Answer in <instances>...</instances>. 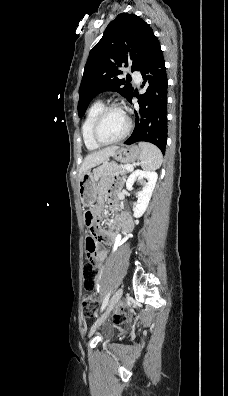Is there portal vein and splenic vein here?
<instances>
[{"mask_svg":"<svg viewBox=\"0 0 228 396\" xmlns=\"http://www.w3.org/2000/svg\"><path fill=\"white\" fill-rule=\"evenodd\" d=\"M122 168H125L126 170H129V171H132V170H133V167L130 166V165L122 166Z\"/></svg>","mask_w":228,"mask_h":396,"instance_id":"obj_1","label":"portal vein and splenic vein"}]
</instances>
